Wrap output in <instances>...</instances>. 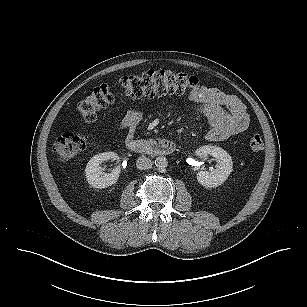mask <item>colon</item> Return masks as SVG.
I'll return each mask as SVG.
<instances>
[{"label":"colon","instance_id":"obj_1","mask_svg":"<svg viewBox=\"0 0 307 307\" xmlns=\"http://www.w3.org/2000/svg\"><path fill=\"white\" fill-rule=\"evenodd\" d=\"M198 85L195 76L181 71L148 70L140 74L122 77L116 87L101 85L96 87L78 105V111L86 122H94L97 112L112 104L119 94L135 98H153L166 94L184 95L191 93ZM90 144L84 134L65 132L53 144V152L58 161L64 162L82 152ZM249 147L259 151L263 147L262 136L255 132L250 136Z\"/></svg>","mask_w":307,"mask_h":307}]
</instances>
